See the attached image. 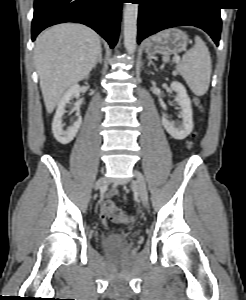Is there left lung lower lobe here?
<instances>
[{
  "label": "left lung lower lobe",
  "mask_w": 246,
  "mask_h": 300,
  "mask_svg": "<svg viewBox=\"0 0 246 300\" xmlns=\"http://www.w3.org/2000/svg\"><path fill=\"white\" fill-rule=\"evenodd\" d=\"M138 43L144 38L175 26L191 25L206 31L219 45L220 7L217 0H136Z\"/></svg>",
  "instance_id": "left-lung-lower-lobe-1"
}]
</instances>
